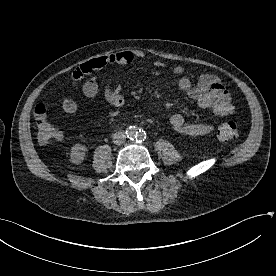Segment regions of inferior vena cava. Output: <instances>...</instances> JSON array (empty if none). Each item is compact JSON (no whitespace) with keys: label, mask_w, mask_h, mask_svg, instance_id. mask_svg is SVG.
Wrapping results in <instances>:
<instances>
[{"label":"inferior vena cava","mask_w":276,"mask_h":276,"mask_svg":"<svg viewBox=\"0 0 276 276\" xmlns=\"http://www.w3.org/2000/svg\"><path fill=\"white\" fill-rule=\"evenodd\" d=\"M125 134L123 132H117L113 135V139H114V143L115 144H122L124 143V140H125Z\"/></svg>","instance_id":"1"}]
</instances>
